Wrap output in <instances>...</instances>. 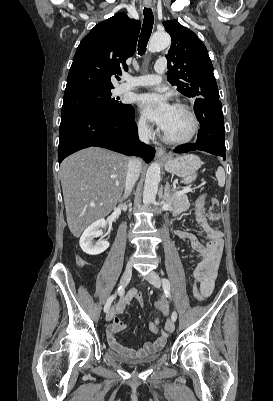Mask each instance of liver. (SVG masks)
<instances>
[{
    "instance_id": "obj_1",
    "label": "liver",
    "mask_w": 273,
    "mask_h": 401,
    "mask_svg": "<svg viewBox=\"0 0 273 401\" xmlns=\"http://www.w3.org/2000/svg\"><path fill=\"white\" fill-rule=\"evenodd\" d=\"M129 158L124 154L90 146L67 156L60 178L68 227L80 237L86 227L103 219L120 203Z\"/></svg>"
}]
</instances>
